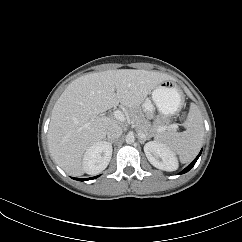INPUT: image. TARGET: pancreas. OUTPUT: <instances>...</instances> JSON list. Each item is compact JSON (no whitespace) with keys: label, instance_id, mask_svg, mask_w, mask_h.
I'll return each mask as SVG.
<instances>
[{"label":"pancreas","instance_id":"cf45deb5","mask_svg":"<svg viewBox=\"0 0 242 242\" xmlns=\"http://www.w3.org/2000/svg\"><path fill=\"white\" fill-rule=\"evenodd\" d=\"M128 114L139 135L144 134L147 138H150L162 131L167 130L165 126L159 124H154L152 126L150 122L145 119L140 112L132 113L129 110Z\"/></svg>","mask_w":242,"mask_h":242}]
</instances>
